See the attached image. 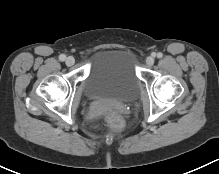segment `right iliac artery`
<instances>
[{
    "label": "right iliac artery",
    "instance_id": "82829eb1",
    "mask_svg": "<svg viewBox=\"0 0 219 174\" xmlns=\"http://www.w3.org/2000/svg\"><path fill=\"white\" fill-rule=\"evenodd\" d=\"M60 61H64L66 59V56L64 54H61L59 56Z\"/></svg>",
    "mask_w": 219,
    "mask_h": 174
}]
</instances>
